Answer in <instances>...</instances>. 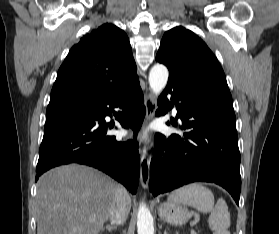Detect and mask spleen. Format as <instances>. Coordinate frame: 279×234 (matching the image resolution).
<instances>
[{"mask_svg":"<svg viewBox=\"0 0 279 234\" xmlns=\"http://www.w3.org/2000/svg\"><path fill=\"white\" fill-rule=\"evenodd\" d=\"M171 202H177L194 207L203 213H210L208 218L209 228L213 234H230V213L223 198L214 203V195L210 189L200 183H192L177 189L168 198Z\"/></svg>","mask_w":279,"mask_h":234,"instance_id":"3e777b00","label":"spleen"}]
</instances>
